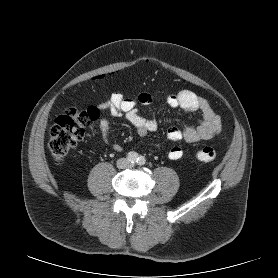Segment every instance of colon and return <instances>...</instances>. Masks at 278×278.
Segmentation results:
<instances>
[{
    "mask_svg": "<svg viewBox=\"0 0 278 278\" xmlns=\"http://www.w3.org/2000/svg\"><path fill=\"white\" fill-rule=\"evenodd\" d=\"M99 112L95 107L80 109L68 107L59 115L50 129L48 149L55 163H62L71 149L83 138L86 128L96 120ZM197 160L209 163L215 160L216 151L212 147H203L196 152Z\"/></svg>",
    "mask_w": 278,
    "mask_h": 278,
    "instance_id": "1",
    "label": "colon"
}]
</instances>
